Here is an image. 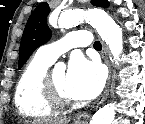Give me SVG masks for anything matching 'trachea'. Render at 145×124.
<instances>
[{
	"label": "trachea",
	"instance_id": "obj_1",
	"mask_svg": "<svg viewBox=\"0 0 145 124\" xmlns=\"http://www.w3.org/2000/svg\"><path fill=\"white\" fill-rule=\"evenodd\" d=\"M93 46H94L95 49H101L102 48L100 41H95Z\"/></svg>",
	"mask_w": 145,
	"mask_h": 124
}]
</instances>
